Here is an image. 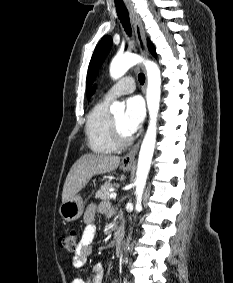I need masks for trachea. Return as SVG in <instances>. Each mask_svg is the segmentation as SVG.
<instances>
[{
  "instance_id": "obj_1",
  "label": "trachea",
  "mask_w": 233,
  "mask_h": 283,
  "mask_svg": "<svg viewBox=\"0 0 233 283\" xmlns=\"http://www.w3.org/2000/svg\"><path fill=\"white\" fill-rule=\"evenodd\" d=\"M116 12H117V15H118L123 27H124V30L130 36L131 35V26H130L128 10L124 6H116ZM138 80H139L140 84L143 85L144 82H145V75L140 73L138 75Z\"/></svg>"
}]
</instances>
